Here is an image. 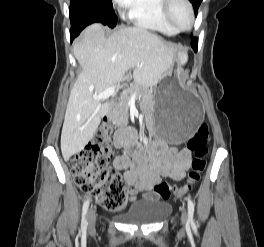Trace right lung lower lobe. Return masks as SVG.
Wrapping results in <instances>:
<instances>
[{
    "mask_svg": "<svg viewBox=\"0 0 264 247\" xmlns=\"http://www.w3.org/2000/svg\"><path fill=\"white\" fill-rule=\"evenodd\" d=\"M83 21L84 20H76L75 22H71V41L86 27L85 24H82Z\"/></svg>",
    "mask_w": 264,
    "mask_h": 247,
    "instance_id": "1",
    "label": "right lung lower lobe"
}]
</instances>
